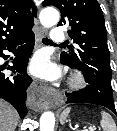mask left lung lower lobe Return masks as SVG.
<instances>
[{
  "label": "left lung lower lobe",
  "instance_id": "0a47b994",
  "mask_svg": "<svg viewBox=\"0 0 117 131\" xmlns=\"http://www.w3.org/2000/svg\"><path fill=\"white\" fill-rule=\"evenodd\" d=\"M88 86L74 93H67L66 103H91L107 107L117 116L112 89L97 84L86 78Z\"/></svg>",
  "mask_w": 117,
  "mask_h": 131
}]
</instances>
